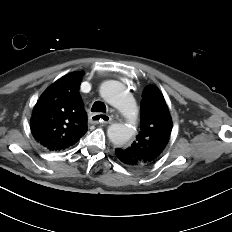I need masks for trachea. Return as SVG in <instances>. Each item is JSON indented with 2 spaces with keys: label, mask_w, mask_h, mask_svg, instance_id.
I'll return each instance as SVG.
<instances>
[{
  "label": "trachea",
  "mask_w": 232,
  "mask_h": 232,
  "mask_svg": "<svg viewBox=\"0 0 232 232\" xmlns=\"http://www.w3.org/2000/svg\"><path fill=\"white\" fill-rule=\"evenodd\" d=\"M91 111L92 112H102V113H105L106 112V106L103 102L101 101H96L92 108H91Z\"/></svg>",
  "instance_id": "3493384b"
}]
</instances>
